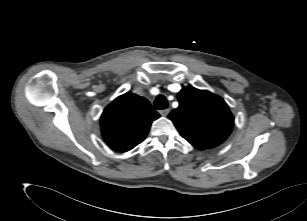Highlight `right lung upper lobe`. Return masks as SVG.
Instances as JSON below:
<instances>
[{
	"mask_svg": "<svg viewBox=\"0 0 307 221\" xmlns=\"http://www.w3.org/2000/svg\"><path fill=\"white\" fill-rule=\"evenodd\" d=\"M157 118L147 99L127 92L105 108L100 119L102 136L112 149L126 152L145 139Z\"/></svg>",
	"mask_w": 307,
	"mask_h": 221,
	"instance_id": "cb5924a9",
	"label": "right lung upper lobe"
}]
</instances>
